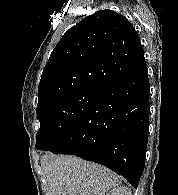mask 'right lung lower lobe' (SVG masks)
<instances>
[{"instance_id": "98d812e1", "label": "right lung lower lobe", "mask_w": 178, "mask_h": 195, "mask_svg": "<svg viewBox=\"0 0 178 195\" xmlns=\"http://www.w3.org/2000/svg\"><path fill=\"white\" fill-rule=\"evenodd\" d=\"M149 95L146 66L111 82L51 152L102 164L137 188L145 166Z\"/></svg>"}]
</instances>
